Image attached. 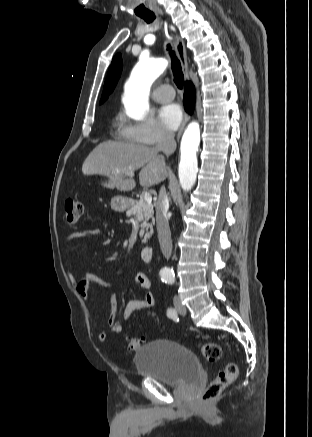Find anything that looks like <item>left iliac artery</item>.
<instances>
[{
    "label": "left iliac artery",
    "mask_w": 312,
    "mask_h": 437,
    "mask_svg": "<svg viewBox=\"0 0 312 437\" xmlns=\"http://www.w3.org/2000/svg\"><path fill=\"white\" fill-rule=\"evenodd\" d=\"M162 281H165V283H169L172 284L174 282V279L171 278H163ZM167 316L169 318H176L177 317V312L175 309L173 308H168L167 309Z\"/></svg>",
    "instance_id": "obj_1"
}]
</instances>
